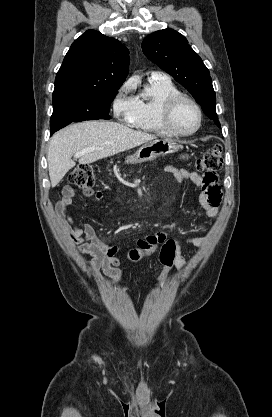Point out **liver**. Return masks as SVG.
Wrapping results in <instances>:
<instances>
[{
    "mask_svg": "<svg viewBox=\"0 0 272 417\" xmlns=\"http://www.w3.org/2000/svg\"><path fill=\"white\" fill-rule=\"evenodd\" d=\"M156 136L130 129L122 124L106 121H85L71 124L56 132L47 154L52 187H55L76 163L72 156L84 149H93L79 157V164L93 163L99 159L132 149Z\"/></svg>",
    "mask_w": 272,
    "mask_h": 417,
    "instance_id": "obj_1",
    "label": "liver"
}]
</instances>
